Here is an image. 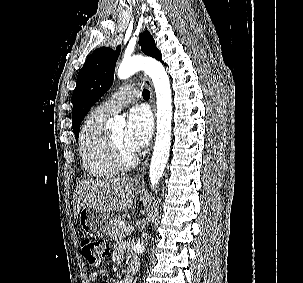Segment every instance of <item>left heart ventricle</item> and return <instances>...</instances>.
Wrapping results in <instances>:
<instances>
[{"instance_id": "1", "label": "left heart ventricle", "mask_w": 303, "mask_h": 283, "mask_svg": "<svg viewBox=\"0 0 303 283\" xmlns=\"http://www.w3.org/2000/svg\"><path fill=\"white\" fill-rule=\"evenodd\" d=\"M111 134L113 136V138L115 139V141L118 143V145L120 146V148L123 150V152L126 155H131L133 154L125 145L124 142V128H116L114 130L111 131Z\"/></svg>"}]
</instances>
